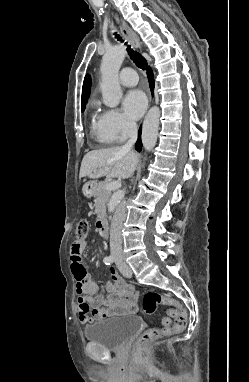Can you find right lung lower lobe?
Listing matches in <instances>:
<instances>
[{
  "instance_id": "obj_1",
  "label": "right lung lower lobe",
  "mask_w": 249,
  "mask_h": 382,
  "mask_svg": "<svg viewBox=\"0 0 249 382\" xmlns=\"http://www.w3.org/2000/svg\"><path fill=\"white\" fill-rule=\"evenodd\" d=\"M147 75H148V80H149V84H150V89H151V91L153 93V90H154V78H153V73H152L151 69H149L147 71ZM140 135H141V128L139 129V137H140ZM135 148H136L137 151H139V152L141 151L142 143L140 141V138L138 139V141H137V143L135 145Z\"/></svg>"
}]
</instances>
